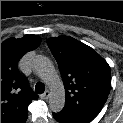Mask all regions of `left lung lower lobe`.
<instances>
[{
    "mask_svg": "<svg viewBox=\"0 0 123 123\" xmlns=\"http://www.w3.org/2000/svg\"><path fill=\"white\" fill-rule=\"evenodd\" d=\"M53 117L59 123H75L73 120H71L68 117L62 115L61 113H53Z\"/></svg>",
    "mask_w": 123,
    "mask_h": 123,
    "instance_id": "1",
    "label": "left lung lower lobe"
}]
</instances>
